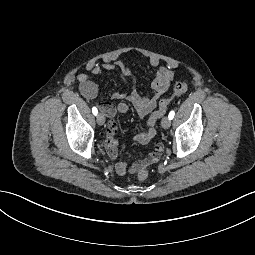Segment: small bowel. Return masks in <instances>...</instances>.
<instances>
[{
  "label": "small bowel",
  "instance_id": "obj_1",
  "mask_svg": "<svg viewBox=\"0 0 255 255\" xmlns=\"http://www.w3.org/2000/svg\"><path fill=\"white\" fill-rule=\"evenodd\" d=\"M150 65L157 68L153 74L151 83V95L144 96L134 88L135 79L131 70L121 61H103L102 63H88L86 68L89 72L95 75H101L104 71L118 72L122 81L132 86V90L128 93L117 91L112 94V98L118 100L117 105L109 102L98 103V108L109 119L110 122L107 126L106 134V149L109 156L116 159L120 143L116 137L117 125L113 118L117 113H126L132 105L138 115L143 118L152 113L157 107L163 94L169 89L171 82L174 79L175 71L169 65H160V61L156 58L150 60ZM77 81L79 83V90L81 94L90 101L96 99L98 94V87L94 81L86 74H78ZM156 136V128L148 129L146 132L139 133L134 136L133 143L144 145L149 143ZM164 151L163 144L159 141L155 142L154 150L143 160L129 165L125 161H119L115 165V171L118 175H125L126 173L135 174L140 169L147 168L148 166L156 163L162 156Z\"/></svg>",
  "mask_w": 255,
  "mask_h": 255
}]
</instances>
